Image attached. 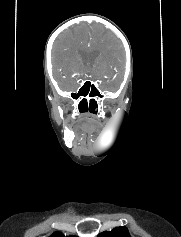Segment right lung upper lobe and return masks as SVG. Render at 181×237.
<instances>
[{
    "instance_id": "1",
    "label": "right lung upper lobe",
    "mask_w": 181,
    "mask_h": 237,
    "mask_svg": "<svg viewBox=\"0 0 181 237\" xmlns=\"http://www.w3.org/2000/svg\"><path fill=\"white\" fill-rule=\"evenodd\" d=\"M50 237H65V236L61 232H55ZM68 237H74V236H68Z\"/></svg>"
}]
</instances>
